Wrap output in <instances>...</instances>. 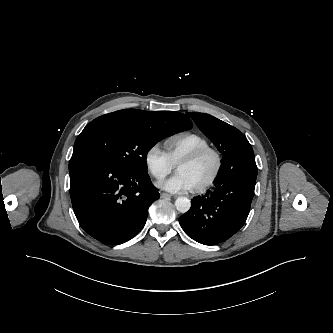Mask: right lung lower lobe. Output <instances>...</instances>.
<instances>
[{"label": "right lung lower lobe", "instance_id": "obj_1", "mask_svg": "<svg viewBox=\"0 0 333 333\" xmlns=\"http://www.w3.org/2000/svg\"><path fill=\"white\" fill-rule=\"evenodd\" d=\"M69 173L76 218L102 243L118 245L138 234L160 196L148 174L129 172L89 150L73 151Z\"/></svg>", "mask_w": 333, "mask_h": 333}]
</instances>
